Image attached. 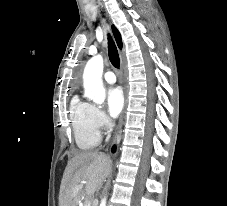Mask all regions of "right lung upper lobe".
Wrapping results in <instances>:
<instances>
[{"label": "right lung upper lobe", "instance_id": "obj_1", "mask_svg": "<svg viewBox=\"0 0 227 206\" xmlns=\"http://www.w3.org/2000/svg\"><path fill=\"white\" fill-rule=\"evenodd\" d=\"M112 32L114 34L118 47L121 49L122 48L121 35L115 26H112Z\"/></svg>", "mask_w": 227, "mask_h": 206}]
</instances>
